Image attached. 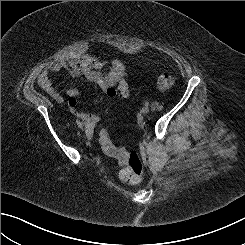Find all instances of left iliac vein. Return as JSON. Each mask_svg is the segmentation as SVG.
Returning <instances> with one entry per match:
<instances>
[{
    "label": "left iliac vein",
    "instance_id": "obj_1",
    "mask_svg": "<svg viewBox=\"0 0 245 245\" xmlns=\"http://www.w3.org/2000/svg\"><path fill=\"white\" fill-rule=\"evenodd\" d=\"M149 111H150V108L148 106H145L141 109V112L144 114L148 113Z\"/></svg>",
    "mask_w": 245,
    "mask_h": 245
}]
</instances>
